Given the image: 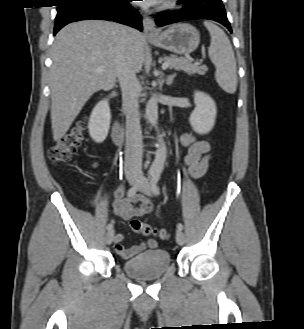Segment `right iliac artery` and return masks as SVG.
I'll return each mask as SVG.
<instances>
[{
	"label": "right iliac artery",
	"mask_w": 304,
	"mask_h": 329,
	"mask_svg": "<svg viewBox=\"0 0 304 329\" xmlns=\"http://www.w3.org/2000/svg\"><path fill=\"white\" fill-rule=\"evenodd\" d=\"M142 180H144V178ZM141 182L142 181H140L138 184L134 185L133 187H131L128 190V193H127L128 197H132V196H134L136 194V192L138 191V188H139ZM112 228H113V225L111 223L107 225V229L108 230H111Z\"/></svg>",
	"instance_id": "right-iliac-artery-1"
}]
</instances>
